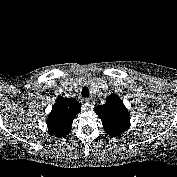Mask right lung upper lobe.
<instances>
[{"mask_svg": "<svg viewBox=\"0 0 177 177\" xmlns=\"http://www.w3.org/2000/svg\"><path fill=\"white\" fill-rule=\"evenodd\" d=\"M81 105L74 98L59 96L46 121L51 135L65 137L72 129V122L80 112Z\"/></svg>", "mask_w": 177, "mask_h": 177, "instance_id": "cb5924a9", "label": "right lung upper lobe"}]
</instances>
